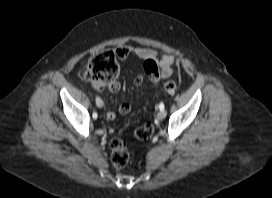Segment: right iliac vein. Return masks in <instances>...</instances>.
I'll use <instances>...</instances> for the list:
<instances>
[{
	"instance_id": "right-iliac-vein-1",
	"label": "right iliac vein",
	"mask_w": 272,
	"mask_h": 198,
	"mask_svg": "<svg viewBox=\"0 0 272 198\" xmlns=\"http://www.w3.org/2000/svg\"><path fill=\"white\" fill-rule=\"evenodd\" d=\"M96 103H97V106H98V107H102L101 105H99L98 100L96 101Z\"/></svg>"
}]
</instances>
